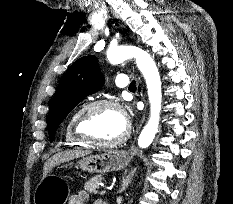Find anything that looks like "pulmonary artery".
I'll return each instance as SVG.
<instances>
[{"instance_id":"pulmonary-artery-1","label":"pulmonary artery","mask_w":233,"mask_h":204,"mask_svg":"<svg viewBox=\"0 0 233 204\" xmlns=\"http://www.w3.org/2000/svg\"><path fill=\"white\" fill-rule=\"evenodd\" d=\"M115 83L120 88L127 87V86H129V78L125 74H119L116 77Z\"/></svg>"}]
</instances>
